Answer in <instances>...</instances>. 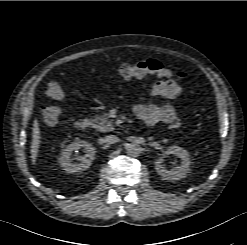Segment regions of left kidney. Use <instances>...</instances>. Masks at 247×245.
<instances>
[{
    "label": "left kidney",
    "mask_w": 247,
    "mask_h": 245,
    "mask_svg": "<svg viewBox=\"0 0 247 245\" xmlns=\"http://www.w3.org/2000/svg\"><path fill=\"white\" fill-rule=\"evenodd\" d=\"M168 154H173L176 157H178L180 159L181 165L178 167H175L172 170H167L166 167L163 165V157H159L155 161L156 172L162 178L168 181L180 180L182 178H185L186 175L191 170L190 169L191 161H190L188 152L185 149L177 145H174L167 149L166 155Z\"/></svg>",
    "instance_id": "1"
}]
</instances>
